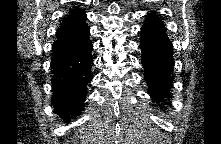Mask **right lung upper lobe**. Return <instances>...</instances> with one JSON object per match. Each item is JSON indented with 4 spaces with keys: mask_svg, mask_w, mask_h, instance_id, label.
<instances>
[{
    "mask_svg": "<svg viewBox=\"0 0 221 144\" xmlns=\"http://www.w3.org/2000/svg\"><path fill=\"white\" fill-rule=\"evenodd\" d=\"M69 13L70 14L63 20L60 28L57 30L56 37L65 35L86 23V14L84 10L75 7L71 9Z\"/></svg>",
    "mask_w": 221,
    "mask_h": 144,
    "instance_id": "cb5924a9",
    "label": "right lung upper lobe"
}]
</instances>
